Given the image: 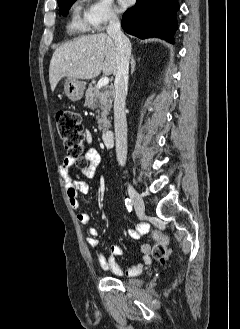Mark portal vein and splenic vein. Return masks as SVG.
<instances>
[{
	"instance_id": "18ae733b",
	"label": "portal vein and splenic vein",
	"mask_w": 240,
	"mask_h": 329,
	"mask_svg": "<svg viewBox=\"0 0 240 329\" xmlns=\"http://www.w3.org/2000/svg\"><path fill=\"white\" fill-rule=\"evenodd\" d=\"M108 83H109V78L105 76V77H102V78L98 81L96 87H97L98 89H101V88L107 86Z\"/></svg>"
}]
</instances>
